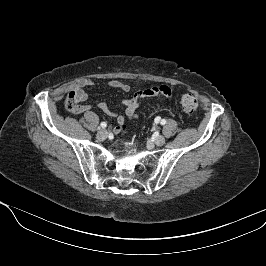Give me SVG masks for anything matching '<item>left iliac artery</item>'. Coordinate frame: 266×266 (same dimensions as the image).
Wrapping results in <instances>:
<instances>
[{"label": "left iliac artery", "mask_w": 266, "mask_h": 266, "mask_svg": "<svg viewBox=\"0 0 266 266\" xmlns=\"http://www.w3.org/2000/svg\"><path fill=\"white\" fill-rule=\"evenodd\" d=\"M160 123H161V125H164L166 123V120L162 119Z\"/></svg>", "instance_id": "1"}]
</instances>
